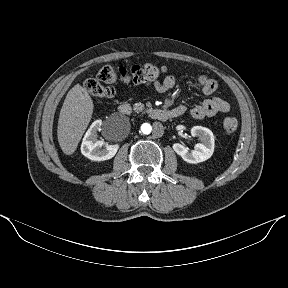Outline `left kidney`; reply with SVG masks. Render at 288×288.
I'll return each mask as SVG.
<instances>
[{
    "label": "left kidney",
    "mask_w": 288,
    "mask_h": 288,
    "mask_svg": "<svg viewBox=\"0 0 288 288\" xmlns=\"http://www.w3.org/2000/svg\"><path fill=\"white\" fill-rule=\"evenodd\" d=\"M191 135L201 140V143L195 145L194 150L189 152L183 144L174 143V151L187 163L197 164L206 161L214 152L215 139L212 131L206 127L194 126L191 129Z\"/></svg>",
    "instance_id": "left-kidney-1"
}]
</instances>
